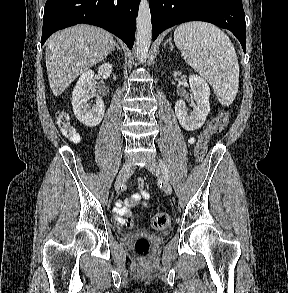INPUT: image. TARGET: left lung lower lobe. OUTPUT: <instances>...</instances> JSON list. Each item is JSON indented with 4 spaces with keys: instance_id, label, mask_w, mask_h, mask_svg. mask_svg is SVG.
<instances>
[{
    "instance_id": "1",
    "label": "left lung lower lobe",
    "mask_w": 288,
    "mask_h": 293,
    "mask_svg": "<svg viewBox=\"0 0 288 293\" xmlns=\"http://www.w3.org/2000/svg\"><path fill=\"white\" fill-rule=\"evenodd\" d=\"M152 39L167 28L188 21H205L230 30L246 50L242 0H150Z\"/></svg>"
}]
</instances>
